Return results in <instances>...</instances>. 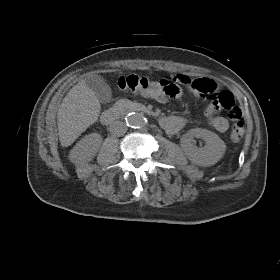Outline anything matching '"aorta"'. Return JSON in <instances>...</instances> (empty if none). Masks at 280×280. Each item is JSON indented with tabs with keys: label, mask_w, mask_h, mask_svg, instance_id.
Segmentation results:
<instances>
[{
	"label": "aorta",
	"mask_w": 280,
	"mask_h": 280,
	"mask_svg": "<svg viewBox=\"0 0 280 280\" xmlns=\"http://www.w3.org/2000/svg\"><path fill=\"white\" fill-rule=\"evenodd\" d=\"M126 123L132 128H141L144 127L147 123L146 118L140 113H129L125 117Z\"/></svg>",
	"instance_id": "762f6f07"
}]
</instances>
